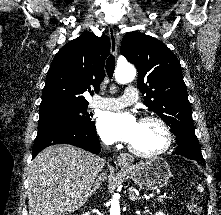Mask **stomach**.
Wrapping results in <instances>:
<instances>
[{
  "label": "stomach",
  "instance_id": "1",
  "mask_svg": "<svg viewBox=\"0 0 221 215\" xmlns=\"http://www.w3.org/2000/svg\"><path fill=\"white\" fill-rule=\"evenodd\" d=\"M123 170L137 186L145 190H158L164 187L171 176L169 165L162 158L144 160L126 166Z\"/></svg>",
  "mask_w": 221,
  "mask_h": 215
}]
</instances>
